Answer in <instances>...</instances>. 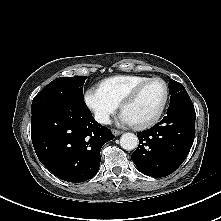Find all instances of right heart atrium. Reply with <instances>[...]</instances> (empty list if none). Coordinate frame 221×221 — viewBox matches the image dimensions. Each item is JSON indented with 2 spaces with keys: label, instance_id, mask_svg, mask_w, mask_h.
Listing matches in <instances>:
<instances>
[{
  "label": "right heart atrium",
  "instance_id": "d8ad5b80",
  "mask_svg": "<svg viewBox=\"0 0 221 221\" xmlns=\"http://www.w3.org/2000/svg\"><path fill=\"white\" fill-rule=\"evenodd\" d=\"M87 107L100 124H108L116 115L118 104L105 95L98 87L89 88L84 96Z\"/></svg>",
  "mask_w": 221,
  "mask_h": 221
}]
</instances>
